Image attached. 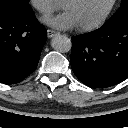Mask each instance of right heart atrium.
Instances as JSON below:
<instances>
[{
	"mask_svg": "<svg viewBox=\"0 0 128 128\" xmlns=\"http://www.w3.org/2000/svg\"><path fill=\"white\" fill-rule=\"evenodd\" d=\"M32 6L42 15H50L56 11L60 5V0H30Z\"/></svg>",
	"mask_w": 128,
	"mask_h": 128,
	"instance_id": "1",
	"label": "right heart atrium"
}]
</instances>
